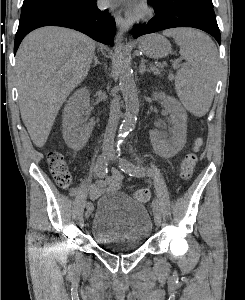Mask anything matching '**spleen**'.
I'll use <instances>...</instances> for the list:
<instances>
[{
	"instance_id": "obj_1",
	"label": "spleen",
	"mask_w": 245,
	"mask_h": 300,
	"mask_svg": "<svg viewBox=\"0 0 245 300\" xmlns=\"http://www.w3.org/2000/svg\"><path fill=\"white\" fill-rule=\"evenodd\" d=\"M163 34L175 39L180 54L189 64L176 74V93L191 114L202 117L208 112L213 100L218 65L217 48L207 35L193 29H170Z\"/></svg>"
}]
</instances>
